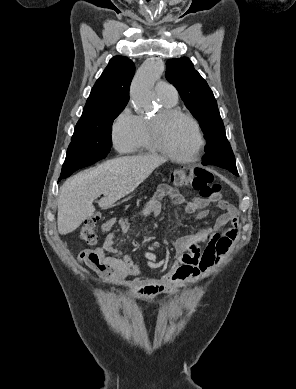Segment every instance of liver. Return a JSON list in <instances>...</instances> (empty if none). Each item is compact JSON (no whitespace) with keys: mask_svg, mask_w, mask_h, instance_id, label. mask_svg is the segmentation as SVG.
<instances>
[{"mask_svg":"<svg viewBox=\"0 0 296 389\" xmlns=\"http://www.w3.org/2000/svg\"><path fill=\"white\" fill-rule=\"evenodd\" d=\"M166 159L154 155L127 156L108 160L68 179L60 188L57 224L61 235L76 230L94 215L93 201L107 208L133 192Z\"/></svg>","mask_w":296,"mask_h":389,"instance_id":"6515ba94","label":"liver"}]
</instances>
